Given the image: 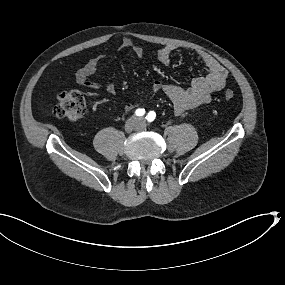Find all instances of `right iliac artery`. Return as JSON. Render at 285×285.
<instances>
[{
    "label": "right iliac artery",
    "instance_id": "right-iliac-artery-1",
    "mask_svg": "<svg viewBox=\"0 0 285 285\" xmlns=\"http://www.w3.org/2000/svg\"><path fill=\"white\" fill-rule=\"evenodd\" d=\"M135 114L137 115V116H143L144 114H145V109H137L136 110V112H135Z\"/></svg>",
    "mask_w": 285,
    "mask_h": 285
}]
</instances>
